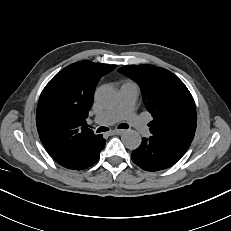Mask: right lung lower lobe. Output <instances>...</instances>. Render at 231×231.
Wrapping results in <instances>:
<instances>
[{
  "label": "right lung lower lobe",
  "instance_id": "98d812e1",
  "mask_svg": "<svg viewBox=\"0 0 231 231\" xmlns=\"http://www.w3.org/2000/svg\"><path fill=\"white\" fill-rule=\"evenodd\" d=\"M102 135L90 139L69 150L63 157L55 161L63 167L73 170H83L96 163L100 152L105 146Z\"/></svg>",
  "mask_w": 231,
  "mask_h": 231
}]
</instances>
